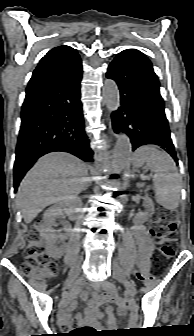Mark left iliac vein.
Returning a JSON list of instances; mask_svg holds the SVG:
<instances>
[{
  "label": "left iliac vein",
  "mask_w": 194,
  "mask_h": 336,
  "mask_svg": "<svg viewBox=\"0 0 194 336\" xmlns=\"http://www.w3.org/2000/svg\"><path fill=\"white\" fill-rule=\"evenodd\" d=\"M112 275L116 280H118L125 286L128 294L135 295L137 293V289L134 283L127 279L121 267L115 262L112 265Z\"/></svg>",
  "instance_id": "4c4485c4"
}]
</instances>
